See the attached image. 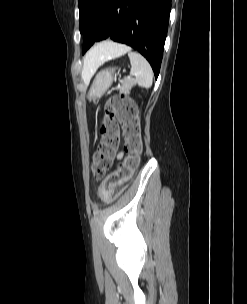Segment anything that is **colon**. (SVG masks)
Returning a JSON list of instances; mask_svg holds the SVG:
<instances>
[{"label":"colon","mask_w":247,"mask_h":304,"mask_svg":"<svg viewBox=\"0 0 247 304\" xmlns=\"http://www.w3.org/2000/svg\"><path fill=\"white\" fill-rule=\"evenodd\" d=\"M120 128L125 138L127 156L99 186L106 196H110L116 187L126 183L132 177L139 164L142 148L140 121L134 102L124 95H114L105 104L100 128L101 141L92 160L91 170L95 179L103 178L114 162L120 145Z\"/></svg>","instance_id":"obj_1"}]
</instances>
